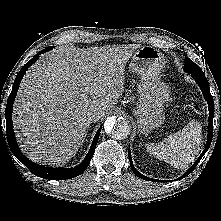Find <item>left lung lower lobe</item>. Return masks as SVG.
I'll list each match as a JSON object with an SVG mask.
<instances>
[{"instance_id": "1", "label": "left lung lower lobe", "mask_w": 221, "mask_h": 221, "mask_svg": "<svg viewBox=\"0 0 221 221\" xmlns=\"http://www.w3.org/2000/svg\"><path fill=\"white\" fill-rule=\"evenodd\" d=\"M189 74H191L193 79L200 86V88L202 90V93H203V95L205 97V100L208 103V107H209L208 140H207L206 147H205L204 151L202 152V154L200 155V157L198 158V160L194 163V165L184 175L179 177L177 180H180V179L186 177L187 175H189L194 170V168L197 166V164L199 163L201 158L204 156L206 151L209 149L211 141H212V136H213L214 101H213V97H212V95L210 93L209 84L207 82V79H206L204 73H189ZM128 155H129L131 169L135 173V175H137L139 178H142L144 180L159 182V180L148 178V177L142 175L141 173H139L135 169V167L133 165V162H132V159H131L130 148L128 149ZM160 182H167V181H160Z\"/></svg>"}]
</instances>
